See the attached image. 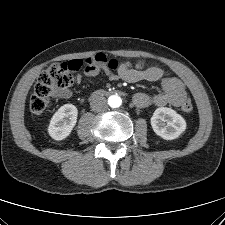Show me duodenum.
Returning a JSON list of instances; mask_svg holds the SVG:
<instances>
[{
    "instance_id": "obj_1",
    "label": "duodenum",
    "mask_w": 225,
    "mask_h": 225,
    "mask_svg": "<svg viewBox=\"0 0 225 225\" xmlns=\"http://www.w3.org/2000/svg\"><path fill=\"white\" fill-rule=\"evenodd\" d=\"M122 93L121 91H108V90H98L95 92L94 97L99 98L105 95H111L113 93Z\"/></svg>"
}]
</instances>
